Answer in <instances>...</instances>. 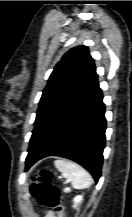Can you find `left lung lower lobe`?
<instances>
[{
    "instance_id": "1",
    "label": "left lung lower lobe",
    "mask_w": 132,
    "mask_h": 217,
    "mask_svg": "<svg viewBox=\"0 0 132 217\" xmlns=\"http://www.w3.org/2000/svg\"><path fill=\"white\" fill-rule=\"evenodd\" d=\"M97 78L67 106L29 151L26 170L47 156L73 160L98 182L105 147V106Z\"/></svg>"
}]
</instances>
